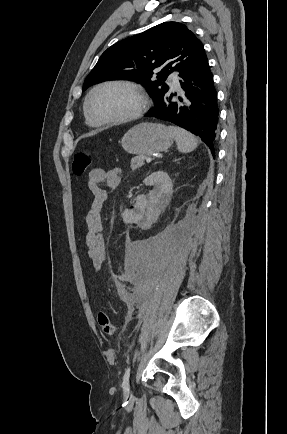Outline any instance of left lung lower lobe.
<instances>
[{
    "label": "left lung lower lobe",
    "mask_w": 287,
    "mask_h": 434,
    "mask_svg": "<svg viewBox=\"0 0 287 434\" xmlns=\"http://www.w3.org/2000/svg\"><path fill=\"white\" fill-rule=\"evenodd\" d=\"M184 94L172 101L168 92L145 116L172 122L196 136L209 147L214 155L218 136L219 110L213 75L206 54L188 63L179 71Z\"/></svg>",
    "instance_id": "0a47b994"
}]
</instances>
